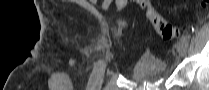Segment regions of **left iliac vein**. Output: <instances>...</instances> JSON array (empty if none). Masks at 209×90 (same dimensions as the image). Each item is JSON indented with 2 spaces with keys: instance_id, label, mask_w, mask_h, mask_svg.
I'll list each match as a JSON object with an SVG mask.
<instances>
[{
  "instance_id": "left-iliac-vein-1",
  "label": "left iliac vein",
  "mask_w": 209,
  "mask_h": 90,
  "mask_svg": "<svg viewBox=\"0 0 209 90\" xmlns=\"http://www.w3.org/2000/svg\"><path fill=\"white\" fill-rule=\"evenodd\" d=\"M176 48L181 57L186 55L187 45L185 43L182 41L178 42Z\"/></svg>"
}]
</instances>
